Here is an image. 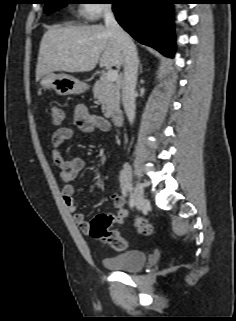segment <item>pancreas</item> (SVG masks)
<instances>
[{"instance_id":"cf45deb5","label":"pancreas","mask_w":236,"mask_h":321,"mask_svg":"<svg viewBox=\"0 0 236 321\" xmlns=\"http://www.w3.org/2000/svg\"><path fill=\"white\" fill-rule=\"evenodd\" d=\"M120 87L107 80L105 76L98 80L93 88L94 98L102 104L104 116L109 118L120 109Z\"/></svg>"}]
</instances>
